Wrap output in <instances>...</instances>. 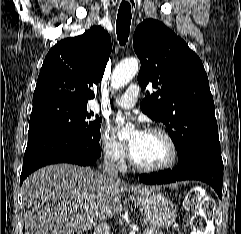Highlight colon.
I'll return each instance as SVG.
<instances>
[{"mask_svg": "<svg viewBox=\"0 0 241 234\" xmlns=\"http://www.w3.org/2000/svg\"><path fill=\"white\" fill-rule=\"evenodd\" d=\"M186 207L194 212L191 220L192 234H208V219L213 205L205 191L201 188L192 190L187 196Z\"/></svg>", "mask_w": 241, "mask_h": 234, "instance_id": "1", "label": "colon"}]
</instances>
